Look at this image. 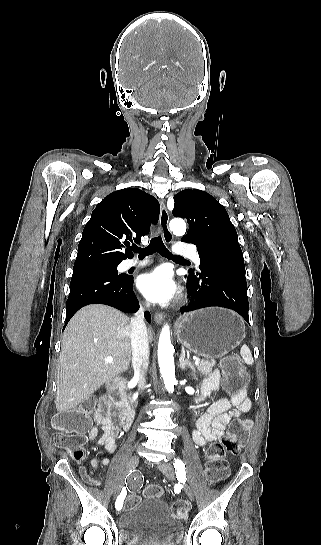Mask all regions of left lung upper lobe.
<instances>
[{
    "label": "left lung upper lobe",
    "mask_w": 321,
    "mask_h": 545,
    "mask_svg": "<svg viewBox=\"0 0 321 545\" xmlns=\"http://www.w3.org/2000/svg\"><path fill=\"white\" fill-rule=\"evenodd\" d=\"M173 215L186 218L188 233L181 239L197 247L223 239H237L225 208L210 194L187 189L174 196Z\"/></svg>",
    "instance_id": "obj_1"
}]
</instances>
